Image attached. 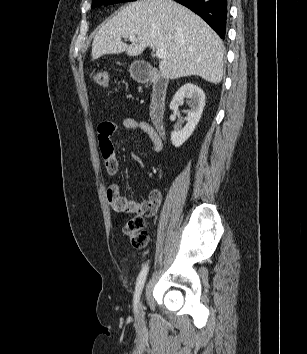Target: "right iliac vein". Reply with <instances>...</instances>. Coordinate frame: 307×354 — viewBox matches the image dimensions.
I'll use <instances>...</instances> for the list:
<instances>
[{
  "label": "right iliac vein",
  "mask_w": 307,
  "mask_h": 354,
  "mask_svg": "<svg viewBox=\"0 0 307 354\" xmlns=\"http://www.w3.org/2000/svg\"><path fill=\"white\" fill-rule=\"evenodd\" d=\"M137 315H138L139 320H141L143 318V316H144L142 302L139 303Z\"/></svg>",
  "instance_id": "obj_1"
}]
</instances>
